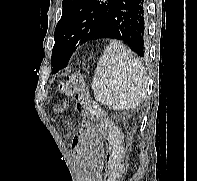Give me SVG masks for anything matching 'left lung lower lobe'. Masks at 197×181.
<instances>
[{"label":"left lung lower lobe","mask_w":197,"mask_h":181,"mask_svg":"<svg viewBox=\"0 0 197 181\" xmlns=\"http://www.w3.org/2000/svg\"><path fill=\"white\" fill-rule=\"evenodd\" d=\"M145 0H114L102 19L95 39H114L126 44L138 56L147 53Z\"/></svg>","instance_id":"0a47b994"}]
</instances>
